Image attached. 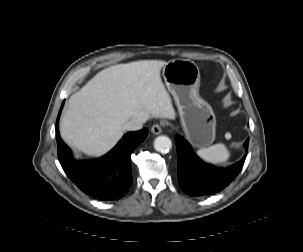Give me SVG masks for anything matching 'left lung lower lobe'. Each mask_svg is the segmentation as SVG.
<instances>
[{
	"label": "left lung lower lobe",
	"mask_w": 303,
	"mask_h": 252,
	"mask_svg": "<svg viewBox=\"0 0 303 252\" xmlns=\"http://www.w3.org/2000/svg\"><path fill=\"white\" fill-rule=\"evenodd\" d=\"M248 142L247 139L244 143L246 152ZM175 143L178 155V182L186 194L193 196L213 194L228 186L239 174L246 158L245 154L231 167L219 169L202 162L182 136L177 135Z\"/></svg>",
	"instance_id": "1"
}]
</instances>
